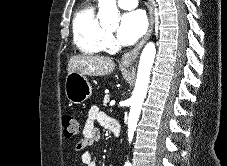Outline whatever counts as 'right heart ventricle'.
I'll use <instances>...</instances> for the list:
<instances>
[{
	"mask_svg": "<svg viewBox=\"0 0 227 166\" xmlns=\"http://www.w3.org/2000/svg\"><path fill=\"white\" fill-rule=\"evenodd\" d=\"M72 29L74 45L81 53L94 55L106 49L107 33L92 4L80 7L74 16Z\"/></svg>",
	"mask_w": 227,
	"mask_h": 166,
	"instance_id": "obj_1",
	"label": "right heart ventricle"
}]
</instances>
